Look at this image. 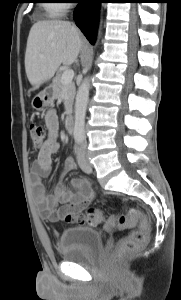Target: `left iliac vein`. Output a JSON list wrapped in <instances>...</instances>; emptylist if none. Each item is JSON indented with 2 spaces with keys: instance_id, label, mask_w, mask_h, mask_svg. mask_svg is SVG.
Wrapping results in <instances>:
<instances>
[{
  "instance_id": "left-iliac-vein-1",
  "label": "left iliac vein",
  "mask_w": 181,
  "mask_h": 300,
  "mask_svg": "<svg viewBox=\"0 0 181 300\" xmlns=\"http://www.w3.org/2000/svg\"><path fill=\"white\" fill-rule=\"evenodd\" d=\"M78 164L83 172L91 173L92 172V165L89 163L86 152L84 148H81L78 154Z\"/></svg>"
}]
</instances>
